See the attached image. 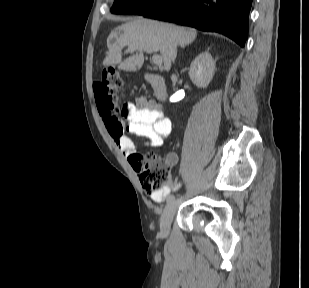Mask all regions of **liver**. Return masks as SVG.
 I'll use <instances>...</instances> for the list:
<instances>
[{"instance_id":"liver-1","label":"liver","mask_w":309,"mask_h":288,"mask_svg":"<svg viewBox=\"0 0 309 288\" xmlns=\"http://www.w3.org/2000/svg\"><path fill=\"white\" fill-rule=\"evenodd\" d=\"M196 36L197 31L192 28L159 23L142 17L135 18L118 26L110 33L107 38L108 51L103 65L118 64L120 70L137 71L144 63V52L151 54L160 51L164 69L169 71L174 50L191 44ZM124 47H128L131 56L122 60Z\"/></svg>"}]
</instances>
